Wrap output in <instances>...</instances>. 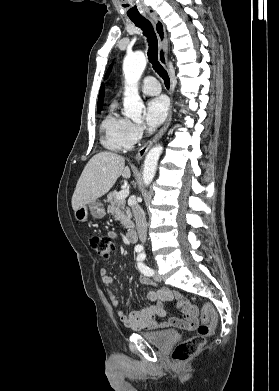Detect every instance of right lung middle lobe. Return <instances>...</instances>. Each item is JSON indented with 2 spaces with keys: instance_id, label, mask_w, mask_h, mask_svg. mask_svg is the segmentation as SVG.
Returning <instances> with one entry per match:
<instances>
[{
  "instance_id": "obj_1",
  "label": "right lung middle lobe",
  "mask_w": 279,
  "mask_h": 391,
  "mask_svg": "<svg viewBox=\"0 0 279 391\" xmlns=\"http://www.w3.org/2000/svg\"><path fill=\"white\" fill-rule=\"evenodd\" d=\"M101 111V108H98V113Z\"/></svg>"
}]
</instances>
